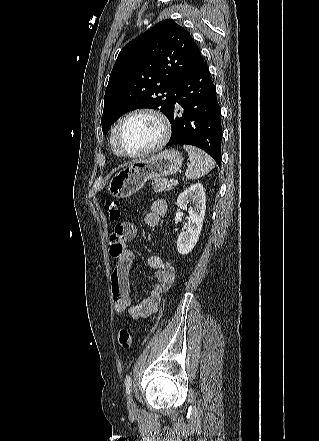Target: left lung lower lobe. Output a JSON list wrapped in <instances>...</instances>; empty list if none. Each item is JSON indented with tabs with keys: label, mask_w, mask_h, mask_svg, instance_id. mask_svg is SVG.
I'll return each instance as SVG.
<instances>
[{
	"label": "left lung lower lobe",
	"mask_w": 319,
	"mask_h": 441,
	"mask_svg": "<svg viewBox=\"0 0 319 441\" xmlns=\"http://www.w3.org/2000/svg\"><path fill=\"white\" fill-rule=\"evenodd\" d=\"M182 107V114L179 115ZM215 86L200 57L175 90L169 121L172 135L166 146L188 144L201 148L220 166L222 126Z\"/></svg>",
	"instance_id": "left-lung-lower-lobe-1"
}]
</instances>
